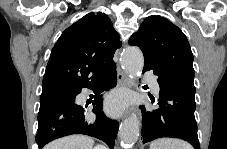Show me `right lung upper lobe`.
I'll return each mask as SVG.
<instances>
[{"mask_svg": "<svg viewBox=\"0 0 227 149\" xmlns=\"http://www.w3.org/2000/svg\"><path fill=\"white\" fill-rule=\"evenodd\" d=\"M120 36L104 13H89L68 27L54 45L43 77L42 89L78 87L95 79L114 63Z\"/></svg>", "mask_w": 227, "mask_h": 149, "instance_id": "obj_1", "label": "right lung upper lobe"}]
</instances>
